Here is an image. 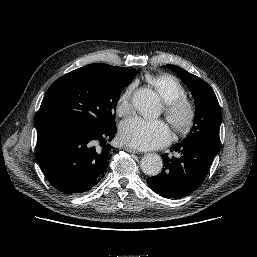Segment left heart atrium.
Returning a JSON list of instances; mask_svg holds the SVG:
<instances>
[{
    "label": "left heart atrium",
    "instance_id": "1",
    "mask_svg": "<svg viewBox=\"0 0 257 257\" xmlns=\"http://www.w3.org/2000/svg\"><path fill=\"white\" fill-rule=\"evenodd\" d=\"M119 138L126 145L148 150L168 144L171 134L167 125L161 121L133 117L121 123Z\"/></svg>",
    "mask_w": 257,
    "mask_h": 257
}]
</instances>
